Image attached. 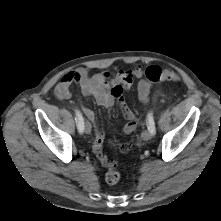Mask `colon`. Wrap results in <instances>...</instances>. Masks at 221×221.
Returning <instances> with one entry per match:
<instances>
[{
  "label": "colon",
  "mask_w": 221,
  "mask_h": 221,
  "mask_svg": "<svg viewBox=\"0 0 221 221\" xmlns=\"http://www.w3.org/2000/svg\"><path fill=\"white\" fill-rule=\"evenodd\" d=\"M146 78L153 83H164V82H177L180 80L179 76L170 68H163L159 66H150L145 71ZM128 88V84H123L116 88V98L119 103L124 115L128 116L130 114L129 108L126 106L124 99L122 97L123 90ZM55 94L59 98H63L65 95V90L57 87ZM120 172L118 171V165L115 161H111L108 170L105 175V180L108 184L114 185L120 180Z\"/></svg>",
  "instance_id": "colon-1"
}]
</instances>
